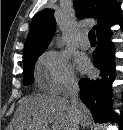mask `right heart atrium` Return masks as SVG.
<instances>
[{
    "label": "right heart atrium",
    "mask_w": 123,
    "mask_h": 130,
    "mask_svg": "<svg viewBox=\"0 0 123 130\" xmlns=\"http://www.w3.org/2000/svg\"><path fill=\"white\" fill-rule=\"evenodd\" d=\"M38 70L52 93H63L77 84L73 65L68 56L60 51H46L39 59Z\"/></svg>",
    "instance_id": "d8ad5b80"
}]
</instances>
